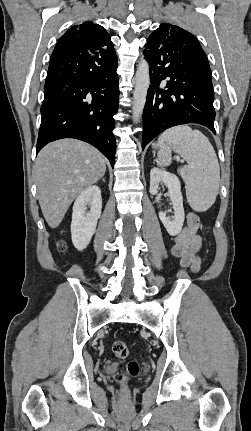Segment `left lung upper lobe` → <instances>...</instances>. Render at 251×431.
Returning <instances> with one entry per match:
<instances>
[{
	"label": "left lung upper lobe",
	"instance_id": "left-lung-upper-lobe-1",
	"mask_svg": "<svg viewBox=\"0 0 251 431\" xmlns=\"http://www.w3.org/2000/svg\"><path fill=\"white\" fill-rule=\"evenodd\" d=\"M150 37L155 38L157 40H167L168 42L172 43H188L190 41L194 42L195 44L199 45L198 40L196 37H194L191 33L187 32L186 30L172 25L168 23H163L159 26L158 29H156ZM201 47V46H200Z\"/></svg>",
	"mask_w": 251,
	"mask_h": 431
}]
</instances>
